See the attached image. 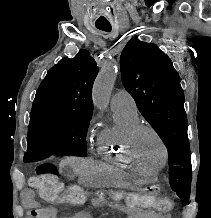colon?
<instances>
[{
    "instance_id": "1",
    "label": "colon",
    "mask_w": 211,
    "mask_h": 218,
    "mask_svg": "<svg viewBox=\"0 0 211 218\" xmlns=\"http://www.w3.org/2000/svg\"><path fill=\"white\" fill-rule=\"evenodd\" d=\"M29 184L37 190L39 196L48 202L79 204L88 198V192L80 186L66 187L58 180L56 167L49 162L39 164L35 168L34 175L30 178ZM110 197L114 201L127 204L130 207L142 209H155L160 213H166L171 209V202L166 198L140 191H113L108 195L97 192V199ZM35 215L36 212H33Z\"/></svg>"
}]
</instances>
